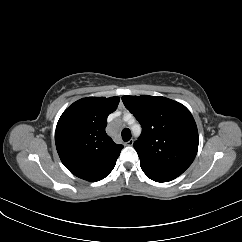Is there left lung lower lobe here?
Instances as JSON below:
<instances>
[{"instance_id": "0a47b994", "label": "left lung lower lobe", "mask_w": 242, "mask_h": 242, "mask_svg": "<svg viewBox=\"0 0 242 242\" xmlns=\"http://www.w3.org/2000/svg\"><path fill=\"white\" fill-rule=\"evenodd\" d=\"M143 172L147 175V177H149L150 179H152L153 181H156V182H168V181H171L176 178L174 176L149 174L145 171H143Z\"/></svg>"}]
</instances>
